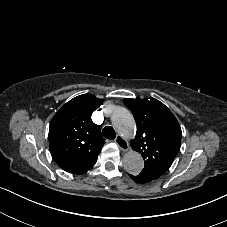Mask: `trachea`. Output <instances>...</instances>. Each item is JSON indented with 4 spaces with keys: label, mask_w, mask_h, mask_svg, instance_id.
<instances>
[{
    "label": "trachea",
    "mask_w": 227,
    "mask_h": 227,
    "mask_svg": "<svg viewBox=\"0 0 227 227\" xmlns=\"http://www.w3.org/2000/svg\"><path fill=\"white\" fill-rule=\"evenodd\" d=\"M102 135L105 138L110 139V140H113L116 137L115 131H114L113 127H111V126L104 127L102 129Z\"/></svg>",
    "instance_id": "obj_1"
}]
</instances>
